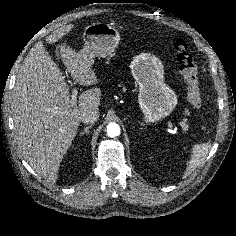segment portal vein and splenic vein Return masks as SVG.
<instances>
[{
    "instance_id": "1",
    "label": "portal vein and splenic vein",
    "mask_w": 236,
    "mask_h": 236,
    "mask_svg": "<svg viewBox=\"0 0 236 236\" xmlns=\"http://www.w3.org/2000/svg\"><path fill=\"white\" fill-rule=\"evenodd\" d=\"M77 93H78L77 89L74 88V89L72 90V95H71V101H72V103H76ZM167 126H168L169 128H174V129H175V126H174L170 121L167 122ZM180 126H181L182 128H184V129L187 128V124L184 123V122H181V123H180Z\"/></svg>"
}]
</instances>
